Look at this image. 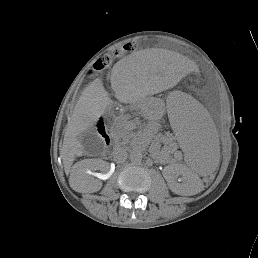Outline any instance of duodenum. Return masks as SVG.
I'll return each instance as SVG.
<instances>
[{
	"label": "duodenum",
	"mask_w": 258,
	"mask_h": 258,
	"mask_svg": "<svg viewBox=\"0 0 258 258\" xmlns=\"http://www.w3.org/2000/svg\"><path fill=\"white\" fill-rule=\"evenodd\" d=\"M100 130H102V136H103V139L105 140L106 142V145H108L109 141H110V136L108 134V132L104 129V126L103 124H101L100 126Z\"/></svg>",
	"instance_id": "duodenum-1"
}]
</instances>
